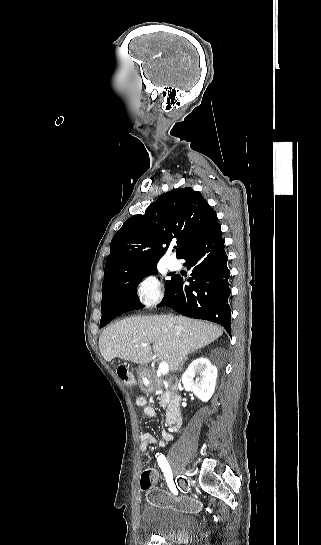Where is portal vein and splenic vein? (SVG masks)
Returning <instances> with one entry per match:
<instances>
[{"label":"portal vein and splenic vein","mask_w":321,"mask_h":545,"mask_svg":"<svg viewBox=\"0 0 321 545\" xmlns=\"http://www.w3.org/2000/svg\"><path fill=\"white\" fill-rule=\"evenodd\" d=\"M142 347H147V343H143ZM159 371L161 375H167V373H169V365L163 361V363H160L159 365Z\"/></svg>","instance_id":"obj_1"}]
</instances>
